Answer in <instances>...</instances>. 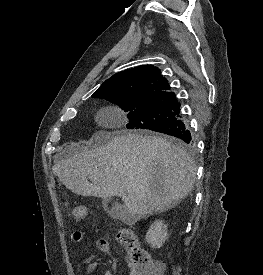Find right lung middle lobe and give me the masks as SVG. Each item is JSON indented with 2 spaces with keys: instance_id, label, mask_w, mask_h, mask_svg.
I'll list each match as a JSON object with an SVG mask.
<instances>
[{
  "instance_id": "obj_1",
  "label": "right lung middle lobe",
  "mask_w": 263,
  "mask_h": 275,
  "mask_svg": "<svg viewBox=\"0 0 263 275\" xmlns=\"http://www.w3.org/2000/svg\"><path fill=\"white\" fill-rule=\"evenodd\" d=\"M93 97L105 98L128 112L127 128L131 129L154 131L180 118V103L175 96H135L124 91H108L94 94ZM173 141L184 148H190L179 140Z\"/></svg>"
}]
</instances>
